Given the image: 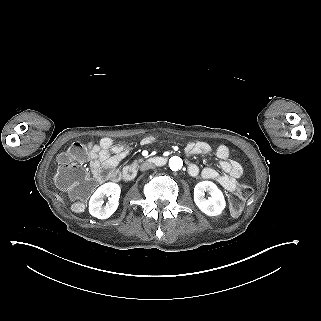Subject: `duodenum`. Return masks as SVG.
I'll list each match as a JSON object with an SVG mask.
<instances>
[{"mask_svg": "<svg viewBox=\"0 0 321 321\" xmlns=\"http://www.w3.org/2000/svg\"><path fill=\"white\" fill-rule=\"evenodd\" d=\"M148 163L154 164L156 166H163L167 162V158L162 156H156L149 158L147 160ZM137 174V164H132L127 167H125L121 172V178L123 181H131L135 178Z\"/></svg>", "mask_w": 321, "mask_h": 321, "instance_id": "410a0bca", "label": "duodenum"}]
</instances>
